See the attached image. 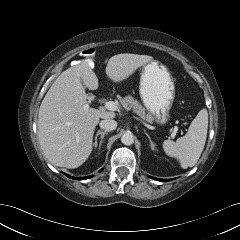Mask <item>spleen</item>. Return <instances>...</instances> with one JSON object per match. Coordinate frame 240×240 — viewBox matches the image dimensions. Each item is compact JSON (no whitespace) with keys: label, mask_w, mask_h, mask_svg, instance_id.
<instances>
[{"label":"spleen","mask_w":240,"mask_h":240,"mask_svg":"<svg viewBox=\"0 0 240 240\" xmlns=\"http://www.w3.org/2000/svg\"><path fill=\"white\" fill-rule=\"evenodd\" d=\"M207 130L208 112L202 109L190 124L187 134L177 139L176 142L165 140L163 149L168 156L177 158L183 169L193 167L204 149Z\"/></svg>","instance_id":"obj_1"}]
</instances>
